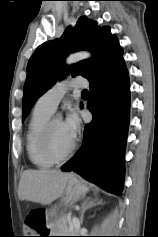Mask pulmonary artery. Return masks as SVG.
<instances>
[{"instance_id":"1","label":"pulmonary artery","mask_w":158,"mask_h":237,"mask_svg":"<svg viewBox=\"0 0 158 237\" xmlns=\"http://www.w3.org/2000/svg\"><path fill=\"white\" fill-rule=\"evenodd\" d=\"M87 81L82 77L67 79L56 83L46 91L37 101L36 105L44 110L53 113L60 101L71 89L86 88Z\"/></svg>"}]
</instances>
